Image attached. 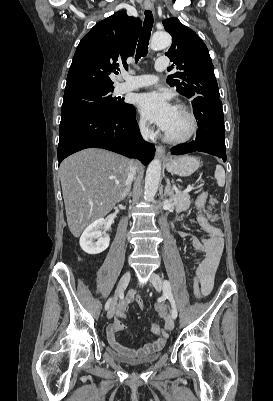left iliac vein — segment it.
<instances>
[{"mask_svg": "<svg viewBox=\"0 0 273 401\" xmlns=\"http://www.w3.org/2000/svg\"><path fill=\"white\" fill-rule=\"evenodd\" d=\"M150 281L157 291H161L162 279L157 273H152ZM165 328L169 331L174 329V319L170 314H167L166 316Z\"/></svg>", "mask_w": 273, "mask_h": 401, "instance_id": "1", "label": "left iliac vein"}]
</instances>
